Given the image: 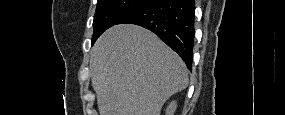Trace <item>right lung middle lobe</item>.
<instances>
[{"mask_svg":"<svg viewBox=\"0 0 285 115\" xmlns=\"http://www.w3.org/2000/svg\"><path fill=\"white\" fill-rule=\"evenodd\" d=\"M150 0H98L94 15L92 45L109 27L122 17L143 6Z\"/></svg>","mask_w":285,"mask_h":115,"instance_id":"right-lung-middle-lobe-1","label":"right lung middle lobe"}]
</instances>
